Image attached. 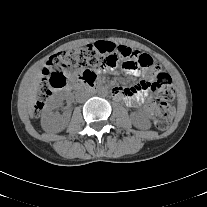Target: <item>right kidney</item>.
Here are the masks:
<instances>
[{
    "label": "right kidney",
    "instance_id": "obj_1",
    "mask_svg": "<svg viewBox=\"0 0 207 207\" xmlns=\"http://www.w3.org/2000/svg\"><path fill=\"white\" fill-rule=\"evenodd\" d=\"M65 99L62 94L53 95L46 103L42 115H41V126L45 131H62L66 128L69 117L61 116L55 109Z\"/></svg>",
    "mask_w": 207,
    "mask_h": 207
}]
</instances>
